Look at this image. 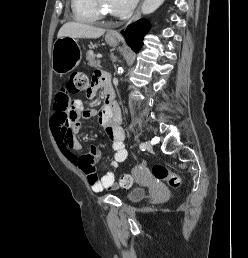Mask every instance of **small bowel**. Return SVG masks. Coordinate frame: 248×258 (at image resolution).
I'll use <instances>...</instances> for the list:
<instances>
[{"instance_id":"small-bowel-1","label":"small bowel","mask_w":248,"mask_h":258,"mask_svg":"<svg viewBox=\"0 0 248 258\" xmlns=\"http://www.w3.org/2000/svg\"><path fill=\"white\" fill-rule=\"evenodd\" d=\"M101 75L99 81L88 92L89 97L95 95L99 85L103 86ZM108 79V75H105ZM104 87V86H103ZM97 118L112 143L114 158L106 165V172L101 178L96 175L94 164L101 158V150L91 145L90 152L81 154L82 145L77 139L82 119ZM51 129L63 155L74 164L87 178L92 191L102 192L114 190L115 169L123 163L128 155L124 144V131L120 125V109L114 103L113 110L104 107L100 110H85L81 100H73L64 87L57 89L53 103Z\"/></svg>"}]
</instances>
